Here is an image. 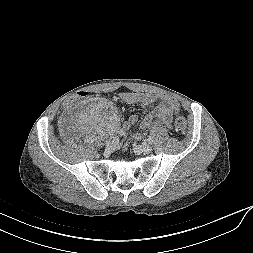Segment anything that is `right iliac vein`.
Returning a JSON list of instances; mask_svg holds the SVG:
<instances>
[{
    "label": "right iliac vein",
    "mask_w": 253,
    "mask_h": 253,
    "mask_svg": "<svg viewBox=\"0 0 253 253\" xmlns=\"http://www.w3.org/2000/svg\"><path fill=\"white\" fill-rule=\"evenodd\" d=\"M115 147H116V142L115 141H108L106 143V150L107 151H112V150L115 149Z\"/></svg>",
    "instance_id": "63e3f726"
}]
</instances>
